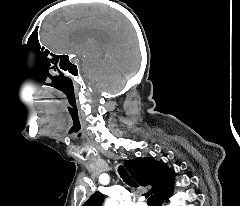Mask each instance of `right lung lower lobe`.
Instances as JSON below:
<instances>
[{
  "mask_svg": "<svg viewBox=\"0 0 240 206\" xmlns=\"http://www.w3.org/2000/svg\"><path fill=\"white\" fill-rule=\"evenodd\" d=\"M170 195H171V193L162 197V198H160V199H158V200H156V202H155L156 206H162V203L164 202V200H166Z\"/></svg>",
  "mask_w": 240,
  "mask_h": 206,
  "instance_id": "98d812e1",
  "label": "right lung lower lobe"
}]
</instances>
